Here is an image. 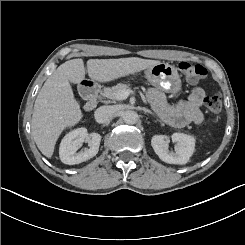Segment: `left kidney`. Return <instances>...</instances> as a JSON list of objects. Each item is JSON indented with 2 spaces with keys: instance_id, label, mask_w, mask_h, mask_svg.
Returning a JSON list of instances; mask_svg holds the SVG:
<instances>
[{
  "instance_id": "5707ae66",
  "label": "left kidney",
  "mask_w": 245,
  "mask_h": 245,
  "mask_svg": "<svg viewBox=\"0 0 245 245\" xmlns=\"http://www.w3.org/2000/svg\"><path fill=\"white\" fill-rule=\"evenodd\" d=\"M172 140L176 143V152H169V143L162 135H156L151 140V145L158 157L170 164H186L195 150L196 139L192 135L174 132Z\"/></svg>"
}]
</instances>
